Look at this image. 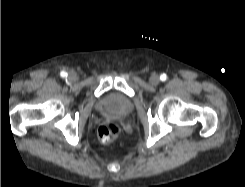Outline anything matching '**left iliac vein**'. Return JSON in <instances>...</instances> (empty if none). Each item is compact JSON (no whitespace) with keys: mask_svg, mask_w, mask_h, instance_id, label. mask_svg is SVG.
I'll list each match as a JSON object with an SVG mask.
<instances>
[{"mask_svg":"<svg viewBox=\"0 0 245 187\" xmlns=\"http://www.w3.org/2000/svg\"><path fill=\"white\" fill-rule=\"evenodd\" d=\"M159 82H160V78H159V76L157 74L151 75V77H150V83L152 85L156 86V85L159 84Z\"/></svg>","mask_w":245,"mask_h":187,"instance_id":"obj_1","label":"left iliac vein"}]
</instances>
